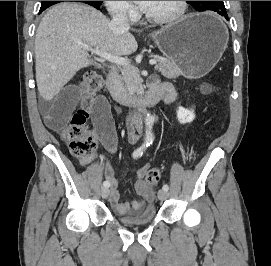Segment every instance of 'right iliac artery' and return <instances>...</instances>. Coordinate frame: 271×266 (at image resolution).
<instances>
[{
	"label": "right iliac artery",
	"mask_w": 271,
	"mask_h": 266,
	"mask_svg": "<svg viewBox=\"0 0 271 266\" xmlns=\"http://www.w3.org/2000/svg\"><path fill=\"white\" fill-rule=\"evenodd\" d=\"M146 146H148V144H143L140 148L135 150L133 153V157L137 158V157L141 156L143 153V150L146 148ZM103 186L108 188V187H110V183L108 181H104Z\"/></svg>",
	"instance_id": "obj_1"
}]
</instances>
